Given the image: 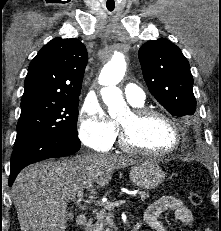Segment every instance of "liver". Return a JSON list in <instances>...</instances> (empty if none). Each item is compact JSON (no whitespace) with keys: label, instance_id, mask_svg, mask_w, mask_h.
I'll return each instance as SVG.
<instances>
[{"label":"liver","instance_id":"liver-1","mask_svg":"<svg viewBox=\"0 0 221 231\" xmlns=\"http://www.w3.org/2000/svg\"><path fill=\"white\" fill-rule=\"evenodd\" d=\"M136 162L114 154H86L26 167L12 187L21 230L65 231L67 202L84 189L96 193L109 184L116 169Z\"/></svg>","mask_w":221,"mask_h":231}]
</instances>
